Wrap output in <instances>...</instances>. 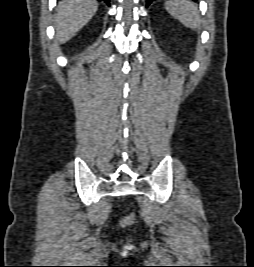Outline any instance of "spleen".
Wrapping results in <instances>:
<instances>
[{
	"instance_id": "3e777b00",
	"label": "spleen",
	"mask_w": 254,
	"mask_h": 267,
	"mask_svg": "<svg viewBox=\"0 0 254 267\" xmlns=\"http://www.w3.org/2000/svg\"><path fill=\"white\" fill-rule=\"evenodd\" d=\"M165 8L174 18L186 27L197 29L200 27V15L197 5L189 0H167Z\"/></svg>"
}]
</instances>
